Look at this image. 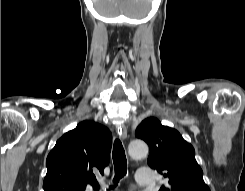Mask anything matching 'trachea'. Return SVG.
Masks as SVG:
<instances>
[{
  "mask_svg": "<svg viewBox=\"0 0 245 191\" xmlns=\"http://www.w3.org/2000/svg\"><path fill=\"white\" fill-rule=\"evenodd\" d=\"M113 163L115 168L114 183L117 184L121 178H123L127 173V160L125 156V151L123 145L119 139H116L113 145ZM96 190H98L99 185H96Z\"/></svg>",
  "mask_w": 245,
  "mask_h": 191,
  "instance_id": "trachea-1",
  "label": "trachea"
}]
</instances>
